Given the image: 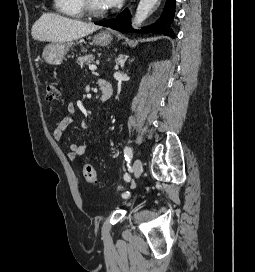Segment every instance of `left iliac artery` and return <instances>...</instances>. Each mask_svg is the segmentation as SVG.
<instances>
[{"label": "left iliac artery", "mask_w": 255, "mask_h": 272, "mask_svg": "<svg viewBox=\"0 0 255 272\" xmlns=\"http://www.w3.org/2000/svg\"><path fill=\"white\" fill-rule=\"evenodd\" d=\"M124 156H125L126 161H128V163H130V161H131V159L133 157V151H132V149L130 147L125 146ZM124 178H125L126 182L130 181V175L128 173H124ZM129 196H130L129 192H126V193L122 194L123 198H128Z\"/></svg>", "instance_id": "44dca946"}]
</instances>
